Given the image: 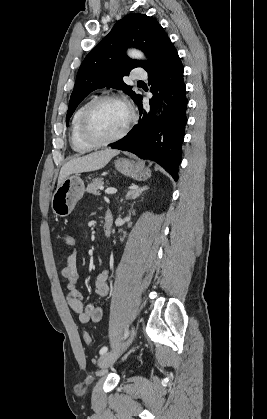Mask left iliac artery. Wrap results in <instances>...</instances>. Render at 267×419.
Here are the masks:
<instances>
[{"mask_svg": "<svg viewBox=\"0 0 267 419\" xmlns=\"http://www.w3.org/2000/svg\"><path fill=\"white\" fill-rule=\"evenodd\" d=\"M128 334H129V332H128V330H126V332H125V334H124V338H126V337L128 336ZM107 350H108V347H107V346L102 347V348L100 349V354H101V355H103L104 353H106V352H107Z\"/></svg>", "mask_w": 267, "mask_h": 419, "instance_id": "1", "label": "left iliac artery"}]
</instances>
